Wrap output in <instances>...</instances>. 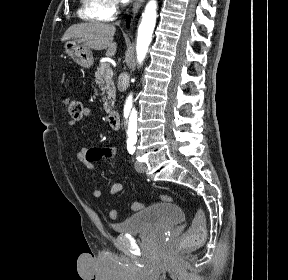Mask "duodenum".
I'll list each match as a JSON object with an SVG mask.
<instances>
[{
    "instance_id": "duodenum-1",
    "label": "duodenum",
    "mask_w": 288,
    "mask_h": 280,
    "mask_svg": "<svg viewBox=\"0 0 288 280\" xmlns=\"http://www.w3.org/2000/svg\"><path fill=\"white\" fill-rule=\"evenodd\" d=\"M108 123L112 129L118 130L120 128V115L117 111L109 112Z\"/></svg>"
}]
</instances>
